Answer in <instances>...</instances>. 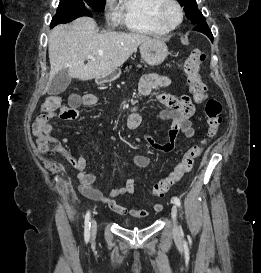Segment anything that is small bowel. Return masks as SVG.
Listing matches in <instances>:
<instances>
[{
  "label": "small bowel",
  "mask_w": 261,
  "mask_h": 273,
  "mask_svg": "<svg viewBox=\"0 0 261 273\" xmlns=\"http://www.w3.org/2000/svg\"><path fill=\"white\" fill-rule=\"evenodd\" d=\"M171 84V79L165 76H159L157 74L144 75L140 81L139 91L142 96H149L153 90L158 87H165ZM157 100L164 106V109L158 112L157 119L170 122V128L168 131V140L166 142H159L148 131L146 134V142L148 146L161 153L170 152L175 148L178 135L181 133L185 139L191 140L195 136V129L191 124L190 118L195 113V105L188 96L176 97L169 93H159ZM97 102V99L92 94H86L82 98V104L84 106H93ZM60 118V113L54 111L47 117L48 120H54ZM46 127L49 131H53L55 128L47 122ZM127 127H133L131 117L127 118ZM98 133L100 131H97ZM61 155L65 160L71 164L77 170V178L79 181V191L87 198L105 203L111 210L117 214H126L127 208L120 205L116 198L123 194H133L135 189V180L129 178L126 180L125 185L120 188L112 189L107 196L103 195L98 189L93 187V183L96 181V176L86 170L87 162L84 156L80 155L75 157L72 152L65 146L60 148ZM132 163L139 168H146L150 166L151 159L147 156L136 155L132 157ZM156 212L162 210L160 204L154 206ZM130 214L136 217H144L148 215V211L144 209H131Z\"/></svg>",
  "instance_id": "1"
}]
</instances>
